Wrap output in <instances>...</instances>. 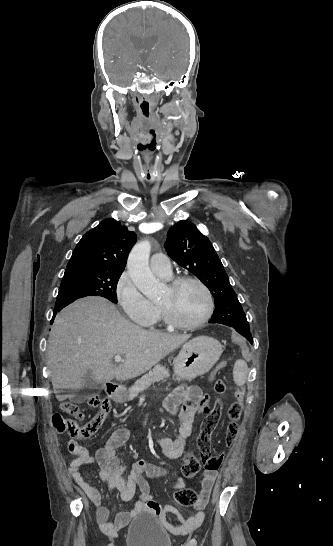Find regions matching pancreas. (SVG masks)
Instances as JSON below:
<instances>
[{"mask_svg":"<svg viewBox=\"0 0 333 546\" xmlns=\"http://www.w3.org/2000/svg\"><path fill=\"white\" fill-rule=\"evenodd\" d=\"M169 377V370L162 365H156L147 374L137 380L134 385L129 389L128 400H132L138 396L139 393L148 389L155 382L165 380Z\"/></svg>","mask_w":333,"mask_h":546,"instance_id":"1","label":"pancreas"}]
</instances>
